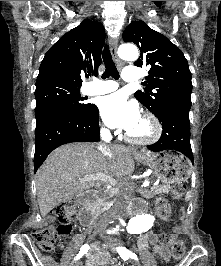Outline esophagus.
<instances>
[{
  "label": "esophagus",
  "mask_w": 221,
  "mask_h": 266,
  "mask_svg": "<svg viewBox=\"0 0 221 266\" xmlns=\"http://www.w3.org/2000/svg\"><path fill=\"white\" fill-rule=\"evenodd\" d=\"M109 43L111 46L110 50H111V54L113 56V59L116 62L118 68L121 69L123 67V62L119 59V57L117 55L118 39L117 38H110ZM138 153H141V151Z\"/></svg>",
  "instance_id": "1"
}]
</instances>
